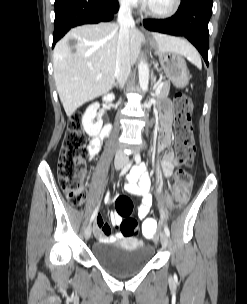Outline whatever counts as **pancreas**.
<instances>
[{"label":"pancreas","mask_w":247,"mask_h":304,"mask_svg":"<svg viewBox=\"0 0 247 304\" xmlns=\"http://www.w3.org/2000/svg\"><path fill=\"white\" fill-rule=\"evenodd\" d=\"M162 83V88L160 92L158 93V98H165L168 96L169 91H170V81H162L159 82L158 84Z\"/></svg>","instance_id":"cf45deb5"}]
</instances>
